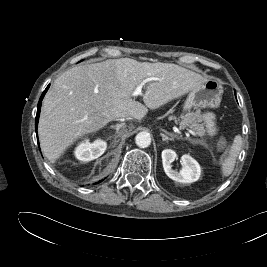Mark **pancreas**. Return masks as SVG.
<instances>
[{
	"label": "pancreas",
	"instance_id": "pancreas-1",
	"mask_svg": "<svg viewBox=\"0 0 267 267\" xmlns=\"http://www.w3.org/2000/svg\"><path fill=\"white\" fill-rule=\"evenodd\" d=\"M199 113L198 112H189L186 115H182L180 118H176L175 116H171V119L175 121V123H179L180 126H187L194 132H196L200 136L205 135V129L200 124V119H199Z\"/></svg>",
	"mask_w": 267,
	"mask_h": 267
}]
</instances>
